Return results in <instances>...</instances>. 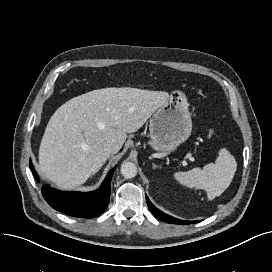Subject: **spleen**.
<instances>
[{
    "label": "spleen",
    "mask_w": 272,
    "mask_h": 272,
    "mask_svg": "<svg viewBox=\"0 0 272 272\" xmlns=\"http://www.w3.org/2000/svg\"><path fill=\"white\" fill-rule=\"evenodd\" d=\"M236 168L235 157L226 148H222L215 163L207 164L203 169L194 168L187 172H176L174 178L188 188L204 189L208 199L212 200L228 188Z\"/></svg>",
    "instance_id": "3e777b00"
}]
</instances>
